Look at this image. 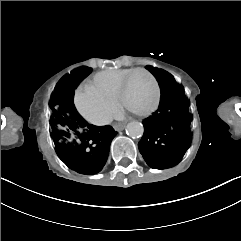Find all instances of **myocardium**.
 <instances>
[{"label": "myocardium", "instance_id": "obj_1", "mask_svg": "<svg viewBox=\"0 0 241 241\" xmlns=\"http://www.w3.org/2000/svg\"><path fill=\"white\" fill-rule=\"evenodd\" d=\"M144 73L146 74L144 75ZM136 75H140V76L144 75V80H148L149 83H151L152 89L154 90V96H152V101H150V104H148V106L143 108L142 116L146 117L147 114H150L156 109L158 105V101L161 98V95L163 94V89L159 88L161 86V83L155 80V78L152 77L149 71H147L144 68H138V69L130 70L126 74H124L116 86L117 87L116 96L119 102H124L126 98L125 89L127 87V84Z\"/></svg>", "mask_w": 241, "mask_h": 241}]
</instances>
